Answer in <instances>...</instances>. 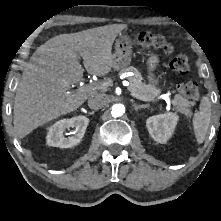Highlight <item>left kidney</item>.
<instances>
[{
  "label": "left kidney",
  "instance_id": "left-kidney-1",
  "mask_svg": "<svg viewBox=\"0 0 221 221\" xmlns=\"http://www.w3.org/2000/svg\"><path fill=\"white\" fill-rule=\"evenodd\" d=\"M175 113H165L149 117L146 126L151 137L158 143H166L172 136L178 121Z\"/></svg>",
  "mask_w": 221,
  "mask_h": 221
}]
</instances>
